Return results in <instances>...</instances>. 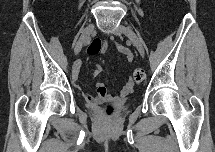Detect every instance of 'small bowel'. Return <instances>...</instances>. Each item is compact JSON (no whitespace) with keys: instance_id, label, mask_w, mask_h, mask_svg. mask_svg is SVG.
<instances>
[{"instance_id":"small-bowel-1","label":"small bowel","mask_w":215,"mask_h":152,"mask_svg":"<svg viewBox=\"0 0 215 152\" xmlns=\"http://www.w3.org/2000/svg\"><path fill=\"white\" fill-rule=\"evenodd\" d=\"M111 41L114 42L117 50L120 53H122L127 58L128 61H132L133 60V54H132V52L127 47H125L124 45H122V44L114 41L113 38H111ZM106 48H107V44L104 43L103 50H106ZM79 70H80V64L75 65L73 73H72V78L75 81L78 78ZM101 72H102V69H101L100 65H97V67L93 71V75L95 77H97V76H99L101 74ZM133 86H134L133 82L131 80H128L124 84V86L122 87V90H121V93H120V97H125V96L129 95L133 91ZM95 88H96V91H97V95L96 96L85 94L86 101L89 104H91V105H94V104H96L99 101H103V100H106V99L109 98L104 83H102V82L96 83L95 84Z\"/></svg>"}]
</instances>
